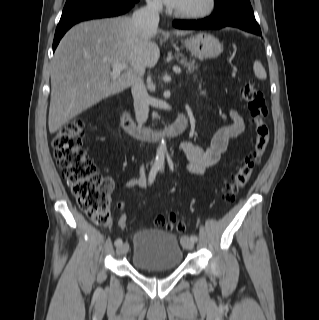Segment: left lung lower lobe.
I'll list each match as a JSON object with an SVG mask.
<instances>
[{
    "label": "left lung lower lobe",
    "instance_id": "left-lung-lower-lobe-1",
    "mask_svg": "<svg viewBox=\"0 0 319 320\" xmlns=\"http://www.w3.org/2000/svg\"><path fill=\"white\" fill-rule=\"evenodd\" d=\"M173 25L179 29H220L226 26L261 35V30L254 17L249 2L234 1L216 8L213 14L197 21L175 20Z\"/></svg>",
    "mask_w": 319,
    "mask_h": 320
}]
</instances>
